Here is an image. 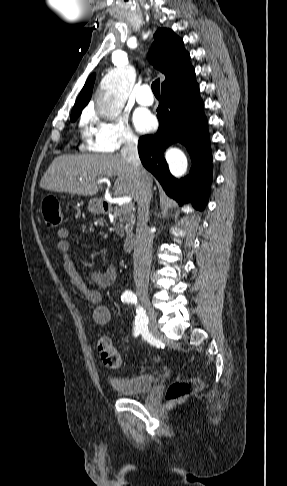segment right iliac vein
I'll return each instance as SVG.
<instances>
[{"instance_id": "obj_1", "label": "right iliac vein", "mask_w": 287, "mask_h": 486, "mask_svg": "<svg viewBox=\"0 0 287 486\" xmlns=\"http://www.w3.org/2000/svg\"><path fill=\"white\" fill-rule=\"evenodd\" d=\"M137 294L146 310V315L149 323V330L151 334L157 335L158 329H157V322H156V313L150 304L148 294L145 290H140L138 291Z\"/></svg>"}]
</instances>
